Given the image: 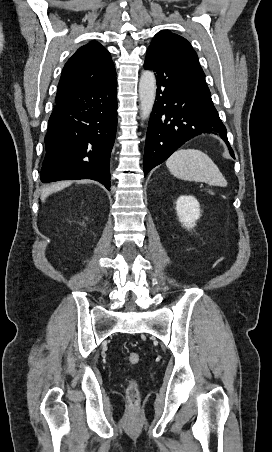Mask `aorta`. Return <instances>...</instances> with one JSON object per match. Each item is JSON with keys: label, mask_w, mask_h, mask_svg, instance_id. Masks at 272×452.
I'll list each match as a JSON object with an SVG mask.
<instances>
[{"label": "aorta", "mask_w": 272, "mask_h": 452, "mask_svg": "<svg viewBox=\"0 0 272 452\" xmlns=\"http://www.w3.org/2000/svg\"><path fill=\"white\" fill-rule=\"evenodd\" d=\"M156 97V78L152 71L142 72L139 81L140 115L142 120L149 118Z\"/></svg>", "instance_id": "obj_1"}]
</instances>
